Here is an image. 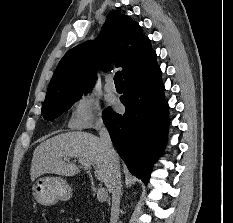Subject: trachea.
Segmentation results:
<instances>
[{
    "instance_id": "trachea-1",
    "label": "trachea",
    "mask_w": 233,
    "mask_h": 223,
    "mask_svg": "<svg viewBox=\"0 0 233 223\" xmlns=\"http://www.w3.org/2000/svg\"><path fill=\"white\" fill-rule=\"evenodd\" d=\"M115 83H123L121 72H116L114 76Z\"/></svg>"
}]
</instances>
